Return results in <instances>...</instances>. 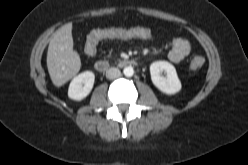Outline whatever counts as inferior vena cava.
<instances>
[{
  "label": "inferior vena cava",
  "instance_id": "1",
  "mask_svg": "<svg viewBox=\"0 0 248 165\" xmlns=\"http://www.w3.org/2000/svg\"><path fill=\"white\" fill-rule=\"evenodd\" d=\"M121 75V72L118 68H109L107 71H106V77L108 79H115V78H118L120 77Z\"/></svg>",
  "mask_w": 248,
  "mask_h": 165
}]
</instances>
